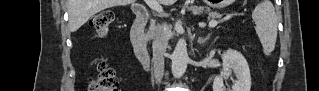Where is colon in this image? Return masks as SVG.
Here are the masks:
<instances>
[{
	"mask_svg": "<svg viewBox=\"0 0 319 91\" xmlns=\"http://www.w3.org/2000/svg\"><path fill=\"white\" fill-rule=\"evenodd\" d=\"M114 21L112 12H100L92 17L91 26L99 36H105L109 32V28ZM118 87V79L107 64L99 60L97 63V74L88 79V91H116Z\"/></svg>",
	"mask_w": 319,
	"mask_h": 91,
	"instance_id": "colon-1",
	"label": "colon"
}]
</instances>
